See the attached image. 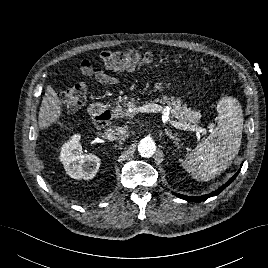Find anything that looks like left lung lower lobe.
Listing matches in <instances>:
<instances>
[{"mask_svg": "<svg viewBox=\"0 0 268 268\" xmlns=\"http://www.w3.org/2000/svg\"><path fill=\"white\" fill-rule=\"evenodd\" d=\"M239 172H240V170L231 179H229L224 185H222L219 189H217L216 191H214V192H212L210 194L203 195V196H200V197H190V196H185V195H182V194H176L174 192H173V194L175 196H178L179 198L187 200V201H194V202L204 201V200L208 199L209 197L216 196L220 192H222L229 184H231L233 182V180L237 177Z\"/></svg>", "mask_w": 268, "mask_h": 268, "instance_id": "obj_1", "label": "left lung lower lobe"}]
</instances>
